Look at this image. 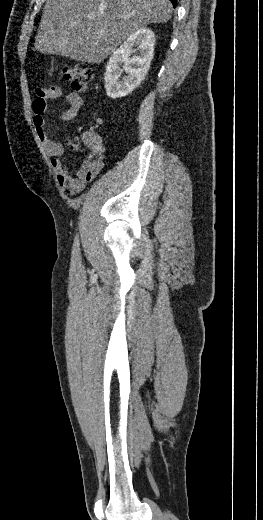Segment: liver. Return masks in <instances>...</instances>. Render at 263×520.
Wrapping results in <instances>:
<instances>
[{"mask_svg":"<svg viewBox=\"0 0 263 520\" xmlns=\"http://www.w3.org/2000/svg\"><path fill=\"white\" fill-rule=\"evenodd\" d=\"M171 14L169 0H46L34 46L41 53L98 63L131 34L166 23Z\"/></svg>","mask_w":263,"mask_h":520,"instance_id":"1","label":"liver"}]
</instances>
